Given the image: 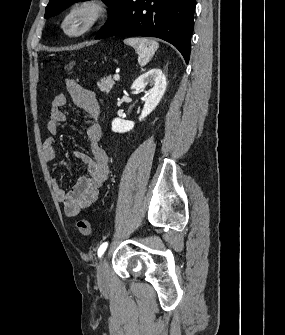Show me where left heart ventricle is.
<instances>
[{
  "label": "left heart ventricle",
  "mask_w": 285,
  "mask_h": 335,
  "mask_svg": "<svg viewBox=\"0 0 285 335\" xmlns=\"http://www.w3.org/2000/svg\"><path fill=\"white\" fill-rule=\"evenodd\" d=\"M83 20L87 17V13H84L83 15Z\"/></svg>",
  "instance_id": "obj_1"
}]
</instances>
